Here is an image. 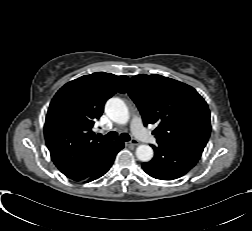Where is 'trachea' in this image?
<instances>
[{
	"mask_svg": "<svg viewBox=\"0 0 252 231\" xmlns=\"http://www.w3.org/2000/svg\"><path fill=\"white\" fill-rule=\"evenodd\" d=\"M106 139L110 140H117L120 139L122 141H130V136L127 133H122L120 137H118V133L115 131L109 132L107 135L104 136Z\"/></svg>",
	"mask_w": 252,
	"mask_h": 231,
	"instance_id": "obj_1",
	"label": "trachea"
}]
</instances>
